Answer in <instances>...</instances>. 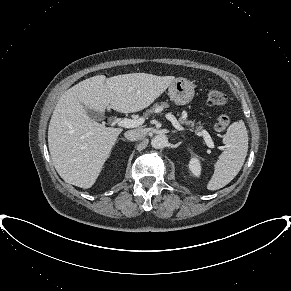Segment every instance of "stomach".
Returning a JSON list of instances; mask_svg holds the SVG:
<instances>
[{"instance_id":"0dacf381","label":"stomach","mask_w":291,"mask_h":291,"mask_svg":"<svg viewBox=\"0 0 291 291\" xmlns=\"http://www.w3.org/2000/svg\"><path fill=\"white\" fill-rule=\"evenodd\" d=\"M168 94L170 99L176 104L186 105L191 102L194 97V84L185 78H176L170 84Z\"/></svg>"}]
</instances>
